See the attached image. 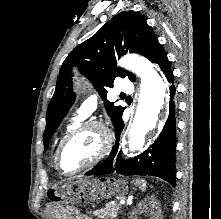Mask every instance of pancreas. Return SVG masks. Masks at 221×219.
<instances>
[{"instance_id":"1","label":"pancreas","mask_w":221,"mask_h":219,"mask_svg":"<svg viewBox=\"0 0 221 219\" xmlns=\"http://www.w3.org/2000/svg\"><path fill=\"white\" fill-rule=\"evenodd\" d=\"M119 210L120 208L115 202H110L104 208L96 210L92 214L97 216L98 219H115Z\"/></svg>"}]
</instances>
